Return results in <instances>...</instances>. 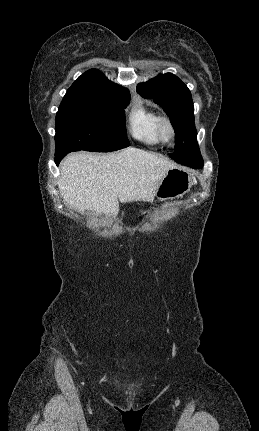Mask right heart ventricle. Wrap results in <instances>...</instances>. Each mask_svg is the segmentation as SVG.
Masks as SVG:
<instances>
[{
    "mask_svg": "<svg viewBox=\"0 0 259 431\" xmlns=\"http://www.w3.org/2000/svg\"><path fill=\"white\" fill-rule=\"evenodd\" d=\"M160 115L142 102H135L128 116L130 134L136 140L147 145H157V122Z\"/></svg>",
    "mask_w": 259,
    "mask_h": 431,
    "instance_id": "obj_1",
    "label": "right heart ventricle"
}]
</instances>
